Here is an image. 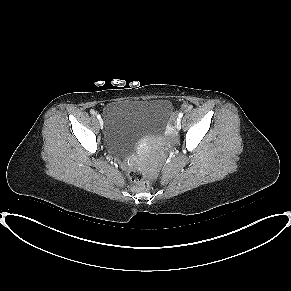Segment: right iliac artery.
<instances>
[{"mask_svg":"<svg viewBox=\"0 0 291 291\" xmlns=\"http://www.w3.org/2000/svg\"><path fill=\"white\" fill-rule=\"evenodd\" d=\"M97 118H98V119H100V118H101V116L98 114V115H97Z\"/></svg>","mask_w":291,"mask_h":291,"instance_id":"obj_1","label":"right iliac artery"}]
</instances>
